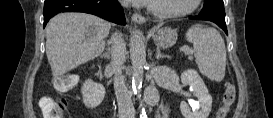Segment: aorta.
<instances>
[{
	"mask_svg": "<svg viewBox=\"0 0 273 118\" xmlns=\"http://www.w3.org/2000/svg\"><path fill=\"white\" fill-rule=\"evenodd\" d=\"M131 60H132V87L136 94H139L143 81V69L146 65V46L142 35L136 31L131 39Z\"/></svg>",
	"mask_w": 273,
	"mask_h": 118,
	"instance_id": "aorta-1",
	"label": "aorta"
}]
</instances>
